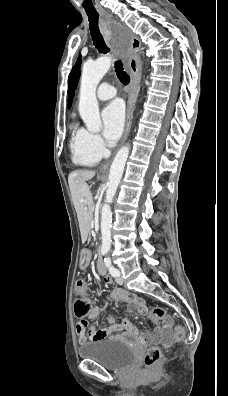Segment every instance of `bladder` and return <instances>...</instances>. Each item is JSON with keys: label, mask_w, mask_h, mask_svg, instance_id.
Segmentation results:
<instances>
[{"label": "bladder", "mask_w": 228, "mask_h": 396, "mask_svg": "<svg viewBox=\"0 0 228 396\" xmlns=\"http://www.w3.org/2000/svg\"><path fill=\"white\" fill-rule=\"evenodd\" d=\"M82 359L92 360L110 370H124L134 360L132 347L120 339L98 340L78 349Z\"/></svg>", "instance_id": "obj_1"}]
</instances>
